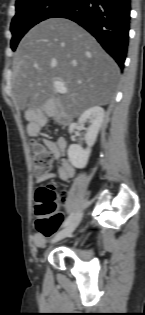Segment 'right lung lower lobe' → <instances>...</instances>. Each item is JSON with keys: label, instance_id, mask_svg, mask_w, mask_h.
<instances>
[{"label": "right lung lower lobe", "instance_id": "obj_1", "mask_svg": "<svg viewBox=\"0 0 145 315\" xmlns=\"http://www.w3.org/2000/svg\"><path fill=\"white\" fill-rule=\"evenodd\" d=\"M131 0H73L53 17L67 18L89 31L121 69L127 56Z\"/></svg>", "mask_w": 145, "mask_h": 315}]
</instances>
